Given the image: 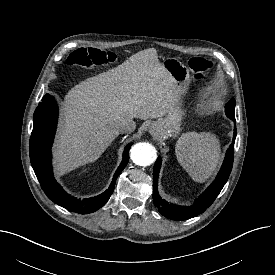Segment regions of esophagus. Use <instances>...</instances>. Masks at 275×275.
<instances>
[{"label": "esophagus", "instance_id": "1", "mask_svg": "<svg viewBox=\"0 0 275 275\" xmlns=\"http://www.w3.org/2000/svg\"><path fill=\"white\" fill-rule=\"evenodd\" d=\"M151 134L157 135V134H158V131H156V130H151Z\"/></svg>", "mask_w": 275, "mask_h": 275}]
</instances>
